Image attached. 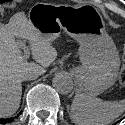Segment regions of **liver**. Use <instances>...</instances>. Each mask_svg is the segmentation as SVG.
<instances>
[{"label": "liver", "instance_id": "6515ba94", "mask_svg": "<svg viewBox=\"0 0 125 125\" xmlns=\"http://www.w3.org/2000/svg\"><path fill=\"white\" fill-rule=\"evenodd\" d=\"M15 38L29 42L35 62H27ZM57 57L51 41L45 40L23 13L15 14L9 24L0 23V118L13 115L20 106L22 76L29 72L39 75Z\"/></svg>", "mask_w": 125, "mask_h": 125}]
</instances>
